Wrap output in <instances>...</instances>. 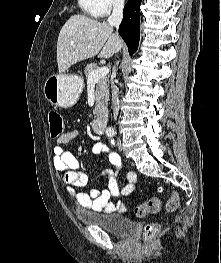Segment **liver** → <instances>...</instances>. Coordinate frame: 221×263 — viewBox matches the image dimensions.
I'll return each mask as SVG.
<instances>
[{
    "mask_svg": "<svg viewBox=\"0 0 221 263\" xmlns=\"http://www.w3.org/2000/svg\"><path fill=\"white\" fill-rule=\"evenodd\" d=\"M122 42L113 27L85 15H73L63 25L57 41V63L62 73L72 65L92 58L108 59L121 49Z\"/></svg>",
    "mask_w": 221,
    "mask_h": 263,
    "instance_id": "liver-1",
    "label": "liver"
}]
</instances>
